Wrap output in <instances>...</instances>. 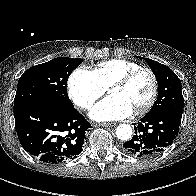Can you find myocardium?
Listing matches in <instances>:
<instances>
[{"instance_id":"f54148a6","label":"myocardium","mask_w":196,"mask_h":196,"mask_svg":"<svg viewBox=\"0 0 196 196\" xmlns=\"http://www.w3.org/2000/svg\"><path fill=\"white\" fill-rule=\"evenodd\" d=\"M141 73H147L150 76L152 81V91L148 100L143 105L135 109V112L138 114L144 113L151 109L158 97L159 81L156 73L152 69L148 67H139L137 69H134L113 81L108 87V92H110L111 89L116 87H124Z\"/></svg>"}]
</instances>
